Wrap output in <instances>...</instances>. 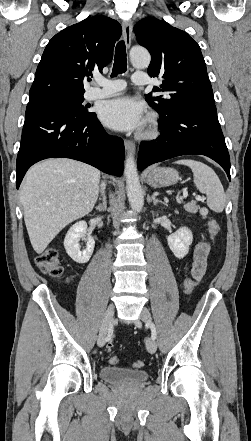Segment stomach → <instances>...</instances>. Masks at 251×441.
<instances>
[{
  "mask_svg": "<svg viewBox=\"0 0 251 441\" xmlns=\"http://www.w3.org/2000/svg\"><path fill=\"white\" fill-rule=\"evenodd\" d=\"M179 179V173L173 168L156 167L147 175V183L154 188L174 185Z\"/></svg>",
  "mask_w": 251,
  "mask_h": 441,
  "instance_id": "0dacf381",
  "label": "stomach"
}]
</instances>
